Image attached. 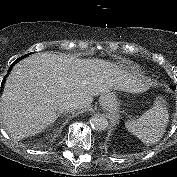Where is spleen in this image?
<instances>
[{
	"mask_svg": "<svg viewBox=\"0 0 177 177\" xmlns=\"http://www.w3.org/2000/svg\"><path fill=\"white\" fill-rule=\"evenodd\" d=\"M169 121V113L165 101L157 97L154 106L139 118L128 120L125 126L129 132L145 144H155L164 135Z\"/></svg>",
	"mask_w": 177,
	"mask_h": 177,
	"instance_id": "obj_1",
	"label": "spleen"
}]
</instances>
